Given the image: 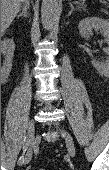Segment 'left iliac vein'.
<instances>
[{"instance_id":"obj_1","label":"left iliac vein","mask_w":109,"mask_h":170,"mask_svg":"<svg viewBox=\"0 0 109 170\" xmlns=\"http://www.w3.org/2000/svg\"><path fill=\"white\" fill-rule=\"evenodd\" d=\"M64 139H65V143H66L69 155L71 157H74L76 154V149H75L73 138L71 137L70 134L65 132Z\"/></svg>"}]
</instances>
